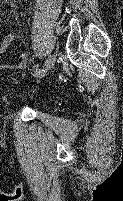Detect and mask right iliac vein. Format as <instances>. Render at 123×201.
Returning <instances> with one entry per match:
<instances>
[{"mask_svg": "<svg viewBox=\"0 0 123 201\" xmlns=\"http://www.w3.org/2000/svg\"><path fill=\"white\" fill-rule=\"evenodd\" d=\"M54 63H55V55L51 54L49 55V57L47 58L45 62V66H44L45 73L48 72L53 67Z\"/></svg>", "mask_w": 123, "mask_h": 201, "instance_id": "obj_1", "label": "right iliac vein"}]
</instances>
